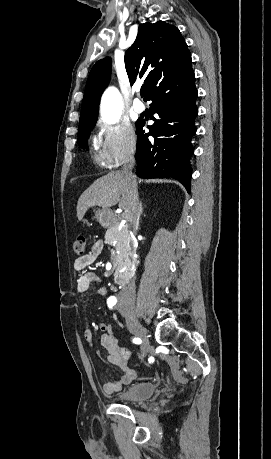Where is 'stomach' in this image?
Masks as SVG:
<instances>
[{"instance_id":"stomach-1","label":"stomach","mask_w":271,"mask_h":459,"mask_svg":"<svg viewBox=\"0 0 271 459\" xmlns=\"http://www.w3.org/2000/svg\"><path fill=\"white\" fill-rule=\"evenodd\" d=\"M95 216H96V220H98V222H104V224H111L114 216L113 214H111L110 210H97V212H95Z\"/></svg>"}]
</instances>
